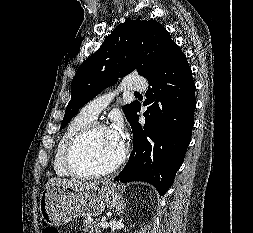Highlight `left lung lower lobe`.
<instances>
[{"mask_svg":"<svg viewBox=\"0 0 253 233\" xmlns=\"http://www.w3.org/2000/svg\"><path fill=\"white\" fill-rule=\"evenodd\" d=\"M150 87L143 103L145 124L138 122V103L131 117L133 150L115 178L145 181L164 195L182 164L194 125L195 84L181 49L174 44L160 65L146 76Z\"/></svg>","mask_w":253,"mask_h":233,"instance_id":"0a47b994","label":"left lung lower lobe"}]
</instances>
